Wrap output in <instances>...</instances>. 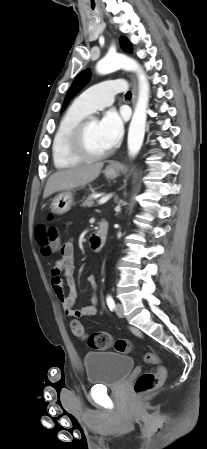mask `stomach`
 Segmentation results:
<instances>
[{"instance_id": "obj_1", "label": "stomach", "mask_w": 207, "mask_h": 449, "mask_svg": "<svg viewBox=\"0 0 207 449\" xmlns=\"http://www.w3.org/2000/svg\"><path fill=\"white\" fill-rule=\"evenodd\" d=\"M119 167H106L104 174L108 179H115L119 175ZM73 204V194L71 191H65L54 197L51 203V211L57 215H62L71 209Z\"/></svg>"}]
</instances>
